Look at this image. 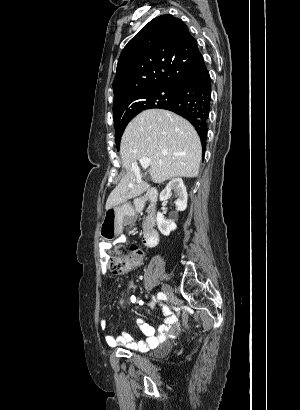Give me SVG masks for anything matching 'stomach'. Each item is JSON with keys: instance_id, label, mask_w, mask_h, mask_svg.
I'll return each mask as SVG.
<instances>
[{"instance_id": "0dacf381", "label": "stomach", "mask_w": 300, "mask_h": 410, "mask_svg": "<svg viewBox=\"0 0 300 410\" xmlns=\"http://www.w3.org/2000/svg\"><path fill=\"white\" fill-rule=\"evenodd\" d=\"M133 218L134 210L129 203H123L107 209L101 223V237L105 240L116 238L122 233L123 226L127 220Z\"/></svg>"}]
</instances>
